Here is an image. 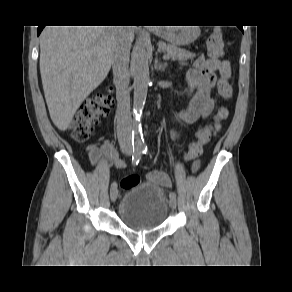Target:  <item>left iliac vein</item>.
Instances as JSON below:
<instances>
[{"mask_svg":"<svg viewBox=\"0 0 292 292\" xmlns=\"http://www.w3.org/2000/svg\"><path fill=\"white\" fill-rule=\"evenodd\" d=\"M169 206H170L172 209H175V208H176V200H174V199H170V201H169Z\"/></svg>","mask_w":292,"mask_h":292,"instance_id":"obj_1","label":"left iliac vein"}]
</instances>
